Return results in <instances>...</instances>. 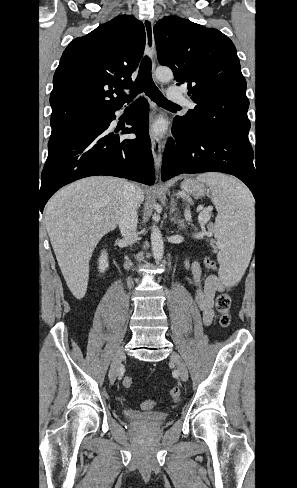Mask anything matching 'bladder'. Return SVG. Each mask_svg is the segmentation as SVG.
<instances>
[{
  "label": "bladder",
  "instance_id": "bladder-1",
  "mask_svg": "<svg viewBox=\"0 0 297 488\" xmlns=\"http://www.w3.org/2000/svg\"><path fill=\"white\" fill-rule=\"evenodd\" d=\"M124 416L131 422L143 425H155L166 421L167 413L152 411V412H138L135 410H126Z\"/></svg>",
  "mask_w": 297,
  "mask_h": 488
}]
</instances>
